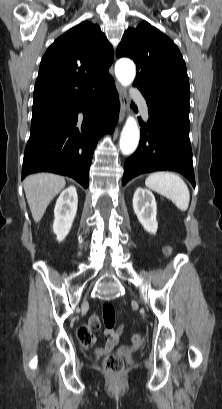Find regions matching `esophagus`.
<instances>
[{
    "label": "esophagus",
    "instance_id": "1",
    "mask_svg": "<svg viewBox=\"0 0 222 409\" xmlns=\"http://www.w3.org/2000/svg\"><path fill=\"white\" fill-rule=\"evenodd\" d=\"M116 88L118 91L119 101H120L119 123H121L123 122L125 118V112L127 108V98H126L125 91L122 89V87L118 83H116Z\"/></svg>",
    "mask_w": 222,
    "mask_h": 409
}]
</instances>
